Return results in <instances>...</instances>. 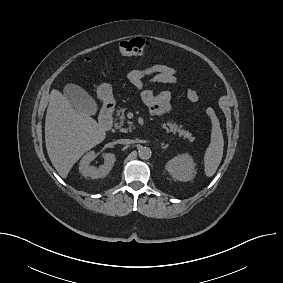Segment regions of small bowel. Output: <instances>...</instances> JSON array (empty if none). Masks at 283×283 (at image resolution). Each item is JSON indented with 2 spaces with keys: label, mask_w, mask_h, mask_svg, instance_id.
<instances>
[{
  "label": "small bowel",
  "mask_w": 283,
  "mask_h": 283,
  "mask_svg": "<svg viewBox=\"0 0 283 283\" xmlns=\"http://www.w3.org/2000/svg\"><path fill=\"white\" fill-rule=\"evenodd\" d=\"M141 64L142 62L139 61L127 75L129 82L136 88L143 89L147 83L174 84L177 82V73L174 68L163 64L140 68ZM141 98L154 116L165 114L171 108V93L169 91L156 93L153 90L144 89Z\"/></svg>",
  "instance_id": "small-bowel-1"
}]
</instances>
